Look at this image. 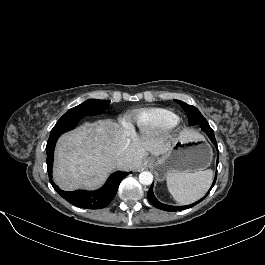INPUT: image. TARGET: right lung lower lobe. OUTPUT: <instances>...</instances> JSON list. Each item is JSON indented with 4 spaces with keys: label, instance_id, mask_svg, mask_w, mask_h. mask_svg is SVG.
I'll list each match as a JSON object with an SVG mask.
<instances>
[{
    "label": "right lung lower lobe",
    "instance_id": "98d812e1",
    "mask_svg": "<svg viewBox=\"0 0 265 265\" xmlns=\"http://www.w3.org/2000/svg\"><path fill=\"white\" fill-rule=\"evenodd\" d=\"M80 117H74L64 122H57L56 125L51 130L47 145V170L50 182L56 192L67 200L69 203L87 209H100L107 206L117 193L118 187L122 179L129 173L117 171L113 173L105 185L96 191H64L61 190L52 181V163H53V152L57 139L61 134L74 129L77 123L80 121Z\"/></svg>",
    "mask_w": 265,
    "mask_h": 265
}]
</instances>
